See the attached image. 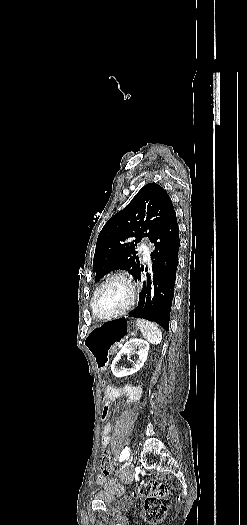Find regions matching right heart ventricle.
Returning a JSON list of instances; mask_svg holds the SVG:
<instances>
[{"mask_svg": "<svg viewBox=\"0 0 247 525\" xmlns=\"http://www.w3.org/2000/svg\"><path fill=\"white\" fill-rule=\"evenodd\" d=\"M93 316H94V319L96 320L97 317L94 314H93ZM147 324H152V323H147Z\"/></svg>", "mask_w": 247, "mask_h": 525, "instance_id": "1", "label": "right heart ventricle"}]
</instances>
